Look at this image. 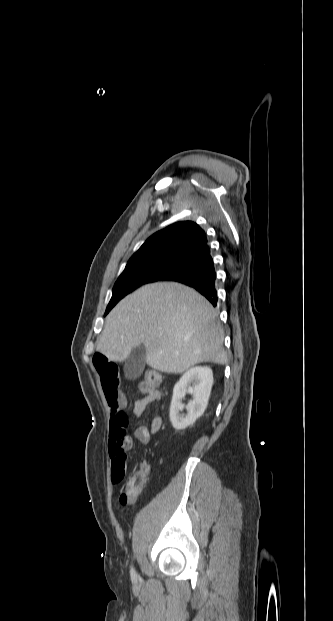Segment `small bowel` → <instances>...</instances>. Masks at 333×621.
<instances>
[{"instance_id": "obj_1", "label": "small bowel", "mask_w": 333, "mask_h": 621, "mask_svg": "<svg viewBox=\"0 0 333 621\" xmlns=\"http://www.w3.org/2000/svg\"><path fill=\"white\" fill-rule=\"evenodd\" d=\"M93 365L99 375L102 391L110 408L111 468L115 464H123L126 467L127 452L132 446V438L127 434L128 418L124 411L127 401L119 386V367L117 362L101 352L94 354ZM139 390L144 396L134 402L133 413L136 416H141L149 404L161 400L160 391L147 381L139 384ZM162 423V418L155 416L149 427L139 426L135 429V439L142 444H147L151 436L160 430Z\"/></svg>"}]
</instances>
